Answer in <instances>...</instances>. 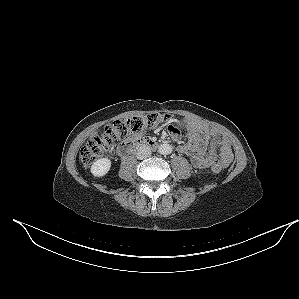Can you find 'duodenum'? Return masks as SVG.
Returning <instances> with one entry per match:
<instances>
[{
	"instance_id": "duodenum-1",
	"label": "duodenum",
	"mask_w": 299,
	"mask_h": 299,
	"mask_svg": "<svg viewBox=\"0 0 299 299\" xmlns=\"http://www.w3.org/2000/svg\"><path fill=\"white\" fill-rule=\"evenodd\" d=\"M142 147L156 148L158 147V142L149 138H136L123 145L120 148V152L127 154Z\"/></svg>"
}]
</instances>
